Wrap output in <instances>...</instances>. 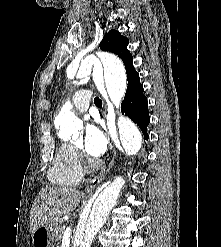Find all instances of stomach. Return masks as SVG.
Listing matches in <instances>:
<instances>
[{"mask_svg": "<svg viewBox=\"0 0 221 247\" xmlns=\"http://www.w3.org/2000/svg\"><path fill=\"white\" fill-rule=\"evenodd\" d=\"M53 240L52 224L41 226L32 233L33 247H51Z\"/></svg>", "mask_w": 221, "mask_h": 247, "instance_id": "0dacf381", "label": "stomach"}]
</instances>
